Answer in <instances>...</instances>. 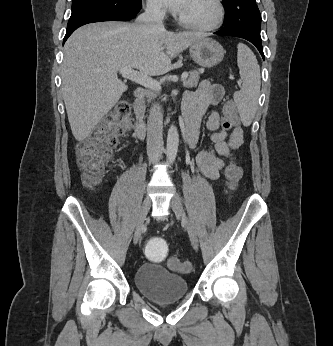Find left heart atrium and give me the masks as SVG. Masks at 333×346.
I'll list each match as a JSON object with an SVG mask.
<instances>
[{
  "instance_id": "39dd6f15",
  "label": "left heart atrium",
  "mask_w": 333,
  "mask_h": 346,
  "mask_svg": "<svg viewBox=\"0 0 333 346\" xmlns=\"http://www.w3.org/2000/svg\"><path fill=\"white\" fill-rule=\"evenodd\" d=\"M162 3L171 11L181 14L190 0H161Z\"/></svg>"
}]
</instances>
